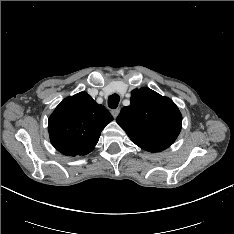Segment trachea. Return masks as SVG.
Instances as JSON below:
<instances>
[{
  "instance_id": "3493384b",
  "label": "trachea",
  "mask_w": 234,
  "mask_h": 234,
  "mask_svg": "<svg viewBox=\"0 0 234 234\" xmlns=\"http://www.w3.org/2000/svg\"><path fill=\"white\" fill-rule=\"evenodd\" d=\"M119 101H120V96L118 94H112L111 96H109L108 98L109 108L111 109L117 108Z\"/></svg>"
}]
</instances>
